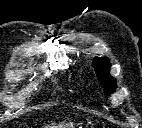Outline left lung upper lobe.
<instances>
[{
	"label": "left lung upper lobe",
	"mask_w": 142,
	"mask_h": 128,
	"mask_svg": "<svg viewBox=\"0 0 142 128\" xmlns=\"http://www.w3.org/2000/svg\"><path fill=\"white\" fill-rule=\"evenodd\" d=\"M110 66L111 64L107 58H94L93 60L96 75L98 80L104 85L106 94L113 93L116 89V80L109 74Z\"/></svg>",
	"instance_id": "1"
}]
</instances>
